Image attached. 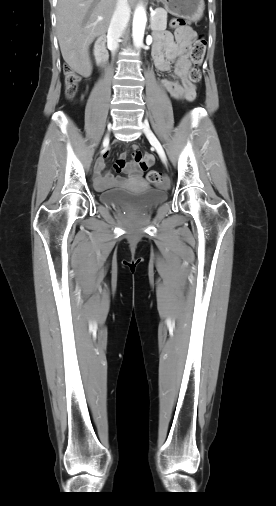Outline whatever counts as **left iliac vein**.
Masks as SVG:
<instances>
[{
    "instance_id": "left-iliac-vein-1",
    "label": "left iliac vein",
    "mask_w": 276,
    "mask_h": 506,
    "mask_svg": "<svg viewBox=\"0 0 276 506\" xmlns=\"http://www.w3.org/2000/svg\"><path fill=\"white\" fill-rule=\"evenodd\" d=\"M143 131L144 133L146 134L147 138L150 140V142L153 144V146L156 148L158 154L160 155L162 161L166 164L167 163V158H166V155L164 153V150L159 142V140L157 139V137L154 135V133L151 131L150 127L148 124L144 123L143 124Z\"/></svg>"
}]
</instances>
